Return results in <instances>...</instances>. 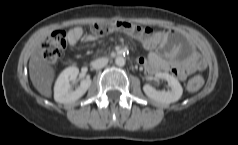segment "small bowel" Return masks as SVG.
Returning <instances> with one entry per match:
<instances>
[{
    "label": "small bowel",
    "instance_id": "small-bowel-1",
    "mask_svg": "<svg viewBox=\"0 0 238 145\" xmlns=\"http://www.w3.org/2000/svg\"><path fill=\"white\" fill-rule=\"evenodd\" d=\"M81 33L82 30L80 28L72 29L68 34L70 43H76L79 40ZM88 39L92 40L93 37L89 36ZM141 42L146 49L151 50L146 58L138 59L139 64L144 66L148 73H158L170 70L181 79H184L186 75L201 71L206 66L205 60L195 52L190 53L186 58L181 60H168L162 58L157 51L152 50L157 45H159L161 49H167L169 51L176 50L175 46L168 44L165 36L162 34L155 35L149 40Z\"/></svg>",
    "mask_w": 238,
    "mask_h": 145
}]
</instances>
